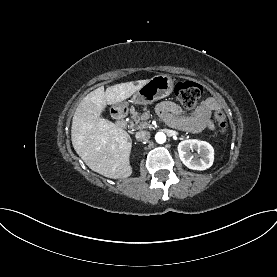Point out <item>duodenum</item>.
Here are the masks:
<instances>
[{"mask_svg":"<svg viewBox=\"0 0 277 277\" xmlns=\"http://www.w3.org/2000/svg\"><path fill=\"white\" fill-rule=\"evenodd\" d=\"M112 115L115 118L116 124L119 128H124L126 126V117L128 115L126 107L119 106L113 108Z\"/></svg>","mask_w":277,"mask_h":277,"instance_id":"obj_1","label":"duodenum"}]
</instances>
